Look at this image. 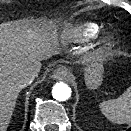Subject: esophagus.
<instances>
[{"label": "esophagus", "instance_id": "34e87169", "mask_svg": "<svg viewBox=\"0 0 131 131\" xmlns=\"http://www.w3.org/2000/svg\"><path fill=\"white\" fill-rule=\"evenodd\" d=\"M67 75H68V68L66 66H62L54 70L51 77L54 80H61L65 78Z\"/></svg>", "mask_w": 131, "mask_h": 131}]
</instances>
